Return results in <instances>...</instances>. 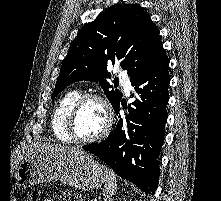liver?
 Here are the masks:
<instances>
[{
    "mask_svg": "<svg viewBox=\"0 0 221 201\" xmlns=\"http://www.w3.org/2000/svg\"><path fill=\"white\" fill-rule=\"evenodd\" d=\"M36 151H43V152H51V153H61V154H67V153H73V152H83L79 148H70L65 145L61 144H41L37 147H35Z\"/></svg>",
    "mask_w": 221,
    "mask_h": 201,
    "instance_id": "obj_1",
    "label": "liver"
}]
</instances>
